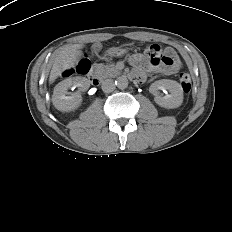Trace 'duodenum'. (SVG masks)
<instances>
[{"instance_id":"410a0bca","label":"duodenum","mask_w":232,"mask_h":232,"mask_svg":"<svg viewBox=\"0 0 232 232\" xmlns=\"http://www.w3.org/2000/svg\"><path fill=\"white\" fill-rule=\"evenodd\" d=\"M88 78L94 84H99L101 82V77L95 68L90 69L88 72Z\"/></svg>"}]
</instances>
